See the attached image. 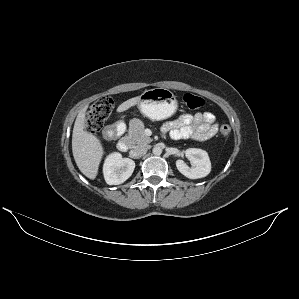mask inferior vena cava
<instances>
[{"mask_svg":"<svg viewBox=\"0 0 299 299\" xmlns=\"http://www.w3.org/2000/svg\"><path fill=\"white\" fill-rule=\"evenodd\" d=\"M149 145L147 144H138L132 149V154L134 156H139L147 152Z\"/></svg>","mask_w":299,"mask_h":299,"instance_id":"obj_1","label":"inferior vena cava"}]
</instances>
